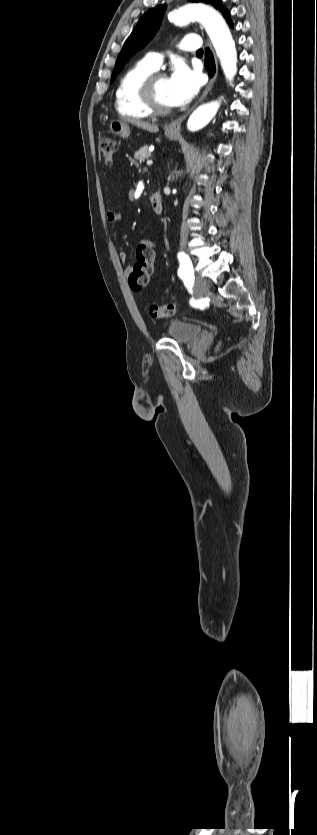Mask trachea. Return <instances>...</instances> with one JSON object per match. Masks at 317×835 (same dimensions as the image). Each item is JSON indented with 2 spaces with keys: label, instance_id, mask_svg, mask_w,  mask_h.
I'll return each instance as SVG.
<instances>
[{
  "label": "trachea",
  "instance_id": "1",
  "mask_svg": "<svg viewBox=\"0 0 317 835\" xmlns=\"http://www.w3.org/2000/svg\"><path fill=\"white\" fill-rule=\"evenodd\" d=\"M196 54H197V55H202V54H203V50H202V49L198 50V51L196 52Z\"/></svg>",
  "mask_w": 317,
  "mask_h": 835
}]
</instances>
